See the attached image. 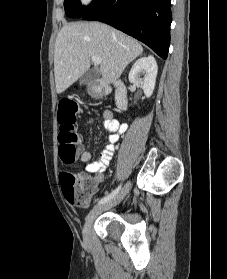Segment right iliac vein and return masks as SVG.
I'll return each instance as SVG.
<instances>
[{
	"label": "right iliac vein",
	"instance_id": "63e3f726",
	"mask_svg": "<svg viewBox=\"0 0 227 279\" xmlns=\"http://www.w3.org/2000/svg\"><path fill=\"white\" fill-rule=\"evenodd\" d=\"M131 187V182H127V184L122 188V190L111 200L106 203H103L99 206L94 207L86 217L84 228H83V238L86 243L90 242V232L91 226L95 218L101 214L103 211L110 209L117 204H119L125 196L128 194Z\"/></svg>",
	"mask_w": 227,
	"mask_h": 279
}]
</instances>
